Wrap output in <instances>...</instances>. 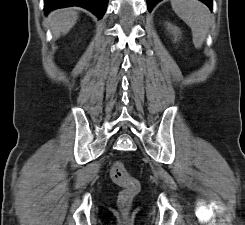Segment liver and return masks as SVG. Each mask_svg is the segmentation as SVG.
<instances>
[{
	"label": "liver",
	"instance_id": "6515ba94",
	"mask_svg": "<svg viewBox=\"0 0 245 225\" xmlns=\"http://www.w3.org/2000/svg\"><path fill=\"white\" fill-rule=\"evenodd\" d=\"M78 20V13L73 8L58 9L48 15V22L54 35L67 34Z\"/></svg>",
	"mask_w": 245,
	"mask_h": 225
}]
</instances>
